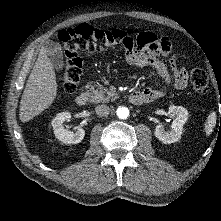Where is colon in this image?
Here are the masks:
<instances>
[{"mask_svg":"<svg viewBox=\"0 0 221 221\" xmlns=\"http://www.w3.org/2000/svg\"><path fill=\"white\" fill-rule=\"evenodd\" d=\"M64 54V69L61 77L63 89L72 94L77 88L81 76L82 60L79 53L82 51H101L113 46L127 47L132 41L130 30H102L88 24L63 30L59 34ZM191 86L198 94H205L209 88L206 72L195 68L191 72Z\"/></svg>","mask_w":221,"mask_h":221,"instance_id":"5ec220e1","label":"colon"}]
</instances>
